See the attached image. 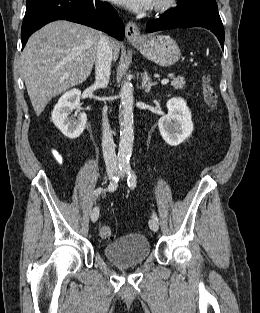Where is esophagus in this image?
<instances>
[{
  "label": "esophagus",
  "mask_w": 260,
  "mask_h": 313,
  "mask_svg": "<svg viewBox=\"0 0 260 313\" xmlns=\"http://www.w3.org/2000/svg\"><path fill=\"white\" fill-rule=\"evenodd\" d=\"M126 37L131 42H137L141 39L140 30L134 22H128L125 28Z\"/></svg>",
  "instance_id": "34e87169"
}]
</instances>
